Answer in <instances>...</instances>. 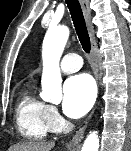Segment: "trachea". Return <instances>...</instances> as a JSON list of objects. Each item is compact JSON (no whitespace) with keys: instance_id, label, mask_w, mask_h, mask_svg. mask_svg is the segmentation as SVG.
I'll use <instances>...</instances> for the list:
<instances>
[{"instance_id":"obj_1","label":"trachea","mask_w":131,"mask_h":151,"mask_svg":"<svg viewBox=\"0 0 131 151\" xmlns=\"http://www.w3.org/2000/svg\"><path fill=\"white\" fill-rule=\"evenodd\" d=\"M65 1L69 8L71 18H72L76 33L78 35L79 41L82 45V48L86 53H89L91 49L90 37L88 34V30L86 27V23H85V19L83 16L80 3L78 0H65Z\"/></svg>"}]
</instances>
